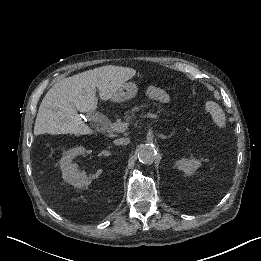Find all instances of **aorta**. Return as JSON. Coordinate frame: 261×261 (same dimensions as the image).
<instances>
[{
    "label": "aorta",
    "instance_id": "762f6f07",
    "mask_svg": "<svg viewBox=\"0 0 261 261\" xmlns=\"http://www.w3.org/2000/svg\"><path fill=\"white\" fill-rule=\"evenodd\" d=\"M139 161L143 164H152L156 158V150L153 145L144 144L137 148Z\"/></svg>",
    "mask_w": 261,
    "mask_h": 261
}]
</instances>
